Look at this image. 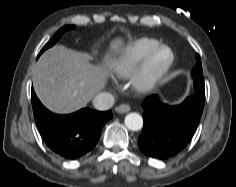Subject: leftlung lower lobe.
I'll list each match as a JSON object with an SVG mask.
<instances>
[{"label":"left lung lower lobe","instance_id":"obj_1","mask_svg":"<svg viewBox=\"0 0 236 187\" xmlns=\"http://www.w3.org/2000/svg\"><path fill=\"white\" fill-rule=\"evenodd\" d=\"M205 96L195 92L176 106L162 103L156 95L143 103L144 126L139 149L147 156L167 159L179 153L193 137L204 107Z\"/></svg>","mask_w":236,"mask_h":187}]
</instances>
